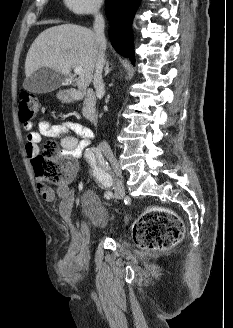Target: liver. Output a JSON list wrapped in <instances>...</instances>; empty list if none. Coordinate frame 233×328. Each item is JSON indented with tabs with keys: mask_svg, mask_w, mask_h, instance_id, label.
I'll use <instances>...</instances> for the list:
<instances>
[{
	"mask_svg": "<svg viewBox=\"0 0 233 328\" xmlns=\"http://www.w3.org/2000/svg\"><path fill=\"white\" fill-rule=\"evenodd\" d=\"M105 45H100L96 34L86 28L74 24H63L44 30L30 46L26 61V78L42 67L70 75L73 67L81 66L83 72L77 79L79 90H85L93 79V71L99 50L103 52Z\"/></svg>",
	"mask_w": 233,
	"mask_h": 328,
	"instance_id": "6515ba94",
	"label": "liver"
}]
</instances>
